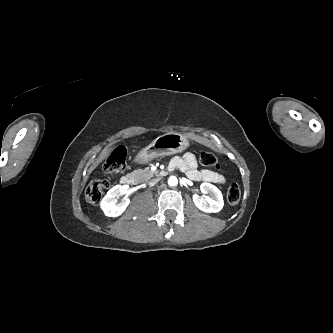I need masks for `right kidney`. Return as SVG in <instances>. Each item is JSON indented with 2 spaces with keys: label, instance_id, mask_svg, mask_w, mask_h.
<instances>
[{
  "label": "right kidney",
  "instance_id": "1",
  "mask_svg": "<svg viewBox=\"0 0 333 333\" xmlns=\"http://www.w3.org/2000/svg\"><path fill=\"white\" fill-rule=\"evenodd\" d=\"M129 190V185H116L111 188L101 201V209L106 216L117 217L121 215L129 205V199L124 198L120 203H117V197L121 194H126Z\"/></svg>",
  "mask_w": 333,
  "mask_h": 333
}]
</instances>
